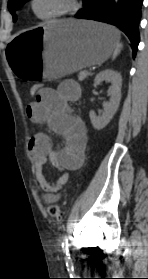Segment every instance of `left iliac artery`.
Listing matches in <instances>:
<instances>
[{
	"mask_svg": "<svg viewBox=\"0 0 148 279\" xmlns=\"http://www.w3.org/2000/svg\"><path fill=\"white\" fill-rule=\"evenodd\" d=\"M62 249H63V252H68V238H67V236H65L63 238Z\"/></svg>",
	"mask_w": 148,
	"mask_h": 279,
	"instance_id": "left-iliac-artery-1",
	"label": "left iliac artery"
}]
</instances>
